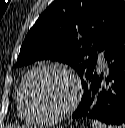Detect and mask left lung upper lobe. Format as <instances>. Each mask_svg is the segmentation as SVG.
Instances as JSON below:
<instances>
[{
  "instance_id": "5c2ea615",
  "label": "left lung upper lobe",
  "mask_w": 125,
  "mask_h": 128,
  "mask_svg": "<svg viewBox=\"0 0 125 128\" xmlns=\"http://www.w3.org/2000/svg\"><path fill=\"white\" fill-rule=\"evenodd\" d=\"M125 27L123 0H55L28 32L16 63L57 60L73 67L83 83L98 53Z\"/></svg>"
}]
</instances>
